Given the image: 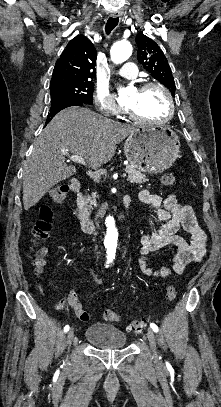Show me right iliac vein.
<instances>
[{"label":"right iliac vein","instance_id":"right-iliac-vein-1","mask_svg":"<svg viewBox=\"0 0 221 407\" xmlns=\"http://www.w3.org/2000/svg\"><path fill=\"white\" fill-rule=\"evenodd\" d=\"M73 338H74V330L70 329L69 332L67 333V343L69 346L71 345Z\"/></svg>","mask_w":221,"mask_h":407}]
</instances>
